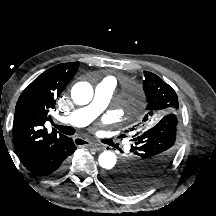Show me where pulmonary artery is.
<instances>
[{
    "instance_id": "1",
    "label": "pulmonary artery",
    "mask_w": 216,
    "mask_h": 216,
    "mask_svg": "<svg viewBox=\"0 0 216 216\" xmlns=\"http://www.w3.org/2000/svg\"><path fill=\"white\" fill-rule=\"evenodd\" d=\"M115 88L116 82L113 78L103 79L95 87L93 100L88 105L63 117L62 121L67 125L76 127L88 125L106 109Z\"/></svg>"
}]
</instances>
